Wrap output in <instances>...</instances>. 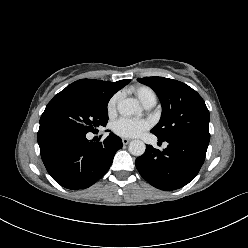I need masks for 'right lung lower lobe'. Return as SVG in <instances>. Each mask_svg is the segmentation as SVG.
Returning <instances> with one entry per match:
<instances>
[{
    "label": "right lung lower lobe",
    "instance_id": "right-lung-lower-lobe-1",
    "mask_svg": "<svg viewBox=\"0 0 248 248\" xmlns=\"http://www.w3.org/2000/svg\"><path fill=\"white\" fill-rule=\"evenodd\" d=\"M37 140L50 176L71 190L88 188L99 180L123 146L113 133L103 143H95L86 134L55 127L39 129Z\"/></svg>",
    "mask_w": 248,
    "mask_h": 248
}]
</instances>
